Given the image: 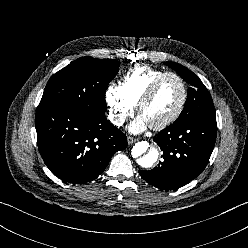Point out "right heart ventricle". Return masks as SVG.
I'll list each match as a JSON object with an SVG mask.
<instances>
[{"label":"right heart ventricle","instance_id":"e07e8e85","mask_svg":"<svg viewBox=\"0 0 248 248\" xmlns=\"http://www.w3.org/2000/svg\"><path fill=\"white\" fill-rule=\"evenodd\" d=\"M163 73L165 71L147 65L133 67L122 77L121 88L129 100L137 105L151 82Z\"/></svg>","mask_w":248,"mask_h":248}]
</instances>
